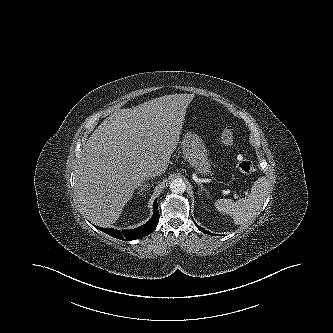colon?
<instances>
[{"instance_id": "1", "label": "colon", "mask_w": 333, "mask_h": 333, "mask_svg": "<svg viewBox=\"0 0 333 333\" xmlns=\"http://www.w3.org/2000/svg\"><path fill=\"white\" fill-rule=\"evenodd\" d=\"M221 140L226 147L234 150L235 149L234 129L232 127L224 128L221 134ZM235 165L237 170L243 175H251L255 170L254 164L240 154L236 155Z\"/></svg>"}]
</instances>
